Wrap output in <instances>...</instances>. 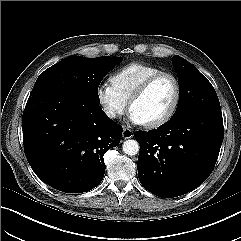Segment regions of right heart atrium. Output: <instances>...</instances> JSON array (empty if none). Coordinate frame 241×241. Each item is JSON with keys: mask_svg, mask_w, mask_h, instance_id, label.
I'll return each instance as SVG.
<instances>
[{"mask_svg": "<svg viewBox=\"0 0 241 241\" xmlns=\"http://www.w3.org/2000/svg\"><path fill=\"white\" fill-rule=\"evenodd\" d=\"M96 97L104 114L109 119L121 117L128 109V102L117 92L111 83H102L97 87Z\"/></svg>", "mask_w": 241, "mask_h": 241, "instance_id": "1", "label": "right heart atrium"}]
</instances>
